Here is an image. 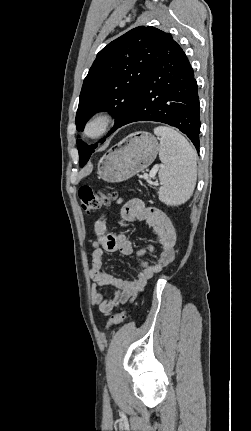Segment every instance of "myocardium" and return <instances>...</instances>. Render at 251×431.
Listing matches in <instances>:
<instances>
[{
	"mask_svg": "<svg viewBox=\"0 0 251 431\" xmlns=\"http://www.w3.org/2000/svg\"><path fill=\"white\" fill-rule=\"evenodd\" d=\"M113 120L114 117L110 112H97L87 119L82 134L86 139L97 140L107 133Z\"/></svg>",
	"mask_w": 251,
	"mask_h": 431,
	"instance_id": "obj_1",
	"label": "myocardium"
}]
</instances>
